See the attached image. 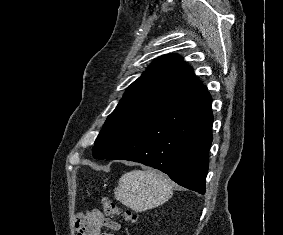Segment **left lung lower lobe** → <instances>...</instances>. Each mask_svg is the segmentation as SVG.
Segmentation results:
<instances>
[{
  "mask_svg": "<svg viewBox=\"0 0 283 235\" xmlns=\"http://www.w3.org/2000/svg\"><path fill=\"white\" fill-rule=\"evenodd\" d=\"M212 123L211 96L201 86L154 118L107 160L122 159L151 166L179 185L204 194Z\"/></svg>",
  "mask_w": 283,
  "mask_h": 235,
  "instance_id": "0a47b994",
  "label": "left lung lower lobe"
}]
</instances>
